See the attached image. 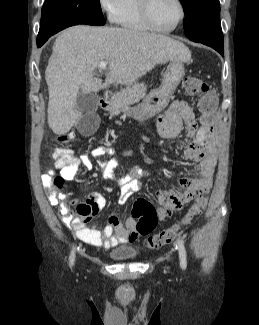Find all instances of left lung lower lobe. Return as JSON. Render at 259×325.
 <instances>
[{
	"label": "left lung lower lobe",
	"mask_w": 259,
	"mask_h": 325,
	"mask_svg": "<svg viewBox=\"0 0 259 325\" xmlns=\"http://www.w3.org/2000/svg\"><path fill=\"white\" fill-rule=\"evenodd\" d=\"M192 41L208 45L218 51L221 55L224 54L223 34L221 29L209 31L201 37L196 38Z\"/></svg>",
	"instance_id": "obj_1"
}]
</instances>
